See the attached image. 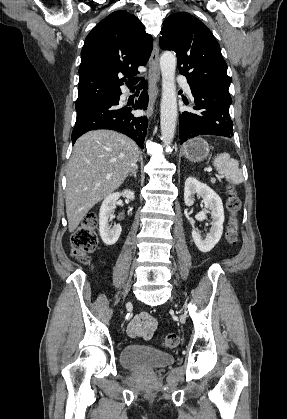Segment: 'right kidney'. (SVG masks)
Listing matches in <instances>:
<instances>
[{
    "label": "right kidney",
    "mask_w": 287,
    "mask_h": 419,
    "mask_svg": "<svg viewBox=\"0 0 287 419\" xmlns=\"http://www.w3.org/2000/svg\"><path fill=\"white\" fill-rule=\"evenodd\" d=\"M120 196H124L129 200L135 198L134 192L131 190H124L122 192H115L108 195L102 202L99 212V232L102 241L107 246L114 245L120 237L122 228L120 224L109 225V219L113 217V211L116 208L117 200Z\"/></svg>",
    "instance_id": "ca27d5eb"
}]
</instances>
